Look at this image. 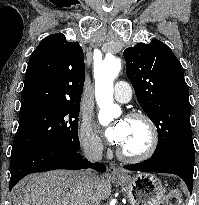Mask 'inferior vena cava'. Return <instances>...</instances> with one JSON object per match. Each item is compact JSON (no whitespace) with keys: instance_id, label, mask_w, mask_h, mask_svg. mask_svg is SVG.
I'll list each match as a JSON object with an SVG mask.
<instances>
[{"instance_id":"obj_1","label":"inferior vena cava","mask_w":199,"mask_h":205,"mask_svg":"<svg viewBox=\"0 0 199 205\" xmlns=\"http://www.w3.org/2000/svg\"><path fill=\"white\" fill-rule=\"evenodd\" d=\"M102 151V144L99 141H94L84 148V155L88 160L98 162L102 159ZM81 178L88 189L93 191L96 185L97 176L91 170H85L81 172ZM94 205H99V201H96Z\"/></svg>"}]
</instances>
